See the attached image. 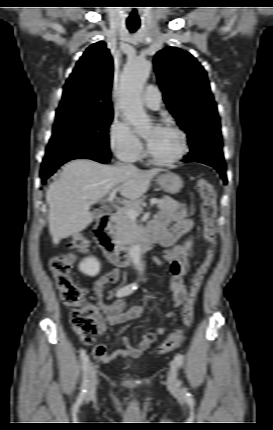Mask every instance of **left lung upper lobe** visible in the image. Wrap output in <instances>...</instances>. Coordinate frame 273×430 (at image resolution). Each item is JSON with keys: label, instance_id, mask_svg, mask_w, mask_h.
<instances>
[{"label": "left lung upper lobe", "instance_id": "left-lung-upper-lobe-1", "mask_svg": "<svg viewBox=\"0 0 273 430\" xmlns=\"http://www.w3.org/2000/svg\"><path fill=\"white\" fill-rule=\"evenodd\" d=\"M154 66L164 101L188 134L189 145L205 134L221 137L217 106L200 63L184 50L166 47L157 52Z\"/></svg>", "mask_w": 273, "mask_h": 430}]
</instances>
